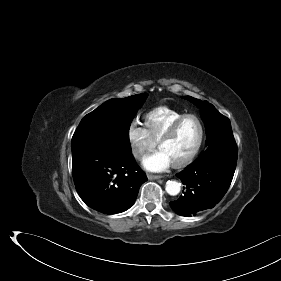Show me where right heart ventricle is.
Returning a JSON list of instances; mask_svg holds the SVG:
<instances>
[{"label": "right heart ventricle", "instance_id": "obj_1", "mask_svg": "<svg viewBox=\"0 0 281 281\" xmlns=\"http://www.w3.org/2000/svg\"><path fill=\"white\" fill-rule=\"evenodd\" d=\"M183 114L167 106H159L145 114L144 124L153 140L158 142L168 127Z\"/></svg>", "mask_w": 281, "mask_h": 281}]
</instances>
